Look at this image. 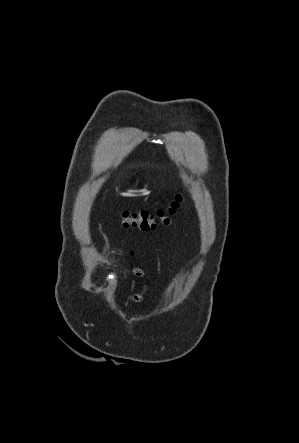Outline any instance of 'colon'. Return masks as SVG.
Returning <instances> with one entry per match:
<instances>
[{"label": "colon", "instance_id": "colon-1", "mask_svg": "<svg viewBox=\"0 0 299 443\" xmlns=\"http://www.w3.org/2000/svg\"><path fill=\"white\" fill-rule=\"evenodd\" d=\"M180 202L181 197L177 195L165 207L159 208L155 212L148 210L124 211L121 215L122 226L137 228L141 231H153L159 225L169 223Z\"/></svg>", "mask_w": 299, "mask_h": 443}]
</instances>
